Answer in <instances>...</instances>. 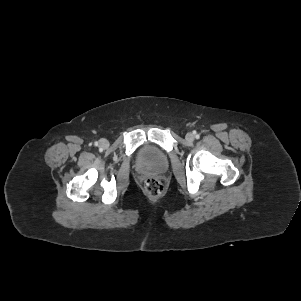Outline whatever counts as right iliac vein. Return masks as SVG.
I'll use <instances>...</instances> for the list:
<instances>
[{
	"label": "right iliac vein",
	"mask_w": 301,
	"mask_h": 301,
	"mask_svg": "<svg viewBox=\"0 0 301 301\" xmlns=\"http://www.w3.org/2000/svg\"><path fill=\"white\" fill-rule=\"evenodd\" d=\"M108 146H109V143H108V141H107L106 139H101V140L99 141V147L105 149V148H107Z\"/></svg>",
	"instance_id": "obj_1"
}]
</instances>
